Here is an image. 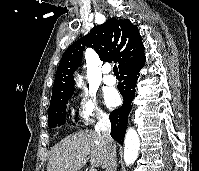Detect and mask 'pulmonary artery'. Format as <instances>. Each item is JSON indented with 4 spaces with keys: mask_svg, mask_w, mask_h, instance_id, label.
<instances>
[{
    "mask_svg": "<svg viewBox=\"0 0 199 171\" xmlns=\"http://www.w3.org/2000/svg\"><path fill=\"white\" fill-rule=\"evenodd\" d=\"M102 73H103V77H102L103 83H105L106 85H110V86H112L116 83L115 76L111 74V66L110 65L103 66Z\"/></svg>",
    "mask_w": 199,
    "mask_h": 171,
    "instance_id": "e3ab8cb5",
    "label": "pulmonary artery"
}]
</instances>
